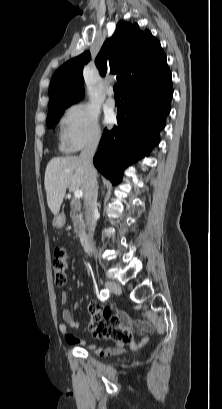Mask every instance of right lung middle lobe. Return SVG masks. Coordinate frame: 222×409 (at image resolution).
I'll list each match as a JSON object with an SVG mask.
<instances>
[{
	"label": "right lung middle lobe",
	"instance_id": "obj_1",
	"mask_svg": "<svg viewBox=\"0 0 222 409\" xmlns=\"http://www.w3.org/2000/svg\"><path fill=\"white\" fill-rule=\"evenodd\" d=\"M69 106L60 107V108H56V109L48 111V116H47V126H48V128H54V126L57 124L60 117L64 113L65 109L67 107H69Z\"/></svg>",
	"mask_w": 222,
	"mask_h": 409
}]
</instances>
